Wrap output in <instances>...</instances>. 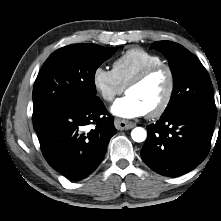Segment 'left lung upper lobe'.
Returning <instances> with one entry per match:
<instances>
[{"label": "left lung upper lobe", "mask_w": 221, "mask_h": 221, "mask_svg": "<svg viewBox=\"0 0 221 221\" xmlns=\"http://www.w3.org/2000/svg\"><path fill=\"white\" fill-rule=\"evenodd\" d=\"M151 48L165 54L174 78L172 96L162 116L184 109H195L216 118L212 83L198 58L180 44L171 41H156Z\"/></svg>", "instance_id": "obj_1"}]
</instances>
